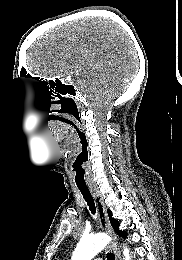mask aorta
<instances>
[{
    "mask_svg": "<svg viewBox=\"0 0 182 260\" xmlns=\"http://www.w3.org/2000/svg\"><path fill=\"white\" fill-rule=\"evenodd\" d=\"M110 241L105 234L82 237L76 246L71 260H92ZM124 260H131L129 249L123 250Z\"/></svg>",
    "mask_w": 182,
    "mask_h": 260,
    "instance_id": "obj_1",
    "label": "aorta"
}]
</instances>
